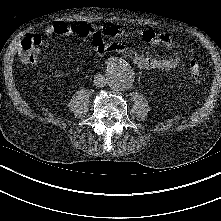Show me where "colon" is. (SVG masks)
Wrapping results in <instances>:
<instances>
[{"instance_id": "obj_1", "label": "colon", "mask_w": 221, "mask_h": 221, "mask_svg": "<svg viewBox=\"0 0 221 221\" xmlns=\"http://www.w3.org/2000/svg\"><path fill=\"white\" fill-rule=\"evenodd\" d=\"M40 40L36 36L28 35L24 37L20 43L18 56L19 60L24 65H33L37 63L39 54ZM188 72L190 76L196 80L201 79V66L195 59L188 62Z\"/></svg>"}]
</instances>
